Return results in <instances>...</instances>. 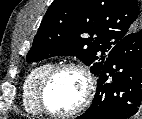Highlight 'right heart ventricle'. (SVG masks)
<instances>
[{"label":"right heart ventricle","mask_w":142,"mask_h":119,"mask_svg":"<svg viewBox=\"0 0 142 119\" xmlns=\"http://www.w3.org/2000/svg\"><path fill=\"white\" fill-rule=\"evenodd\" d=\"M52 62H45L32 69L23 83L22 101L25 110L33 115H39L42 110L38 104V89L45 75L53 68Z\"/></svg>","instance_id":"e07e8e85"}]
</instances>
